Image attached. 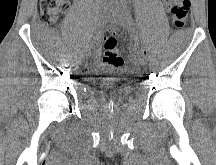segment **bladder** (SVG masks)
<instances>
[{"label":"bladder","mask_w":216,"mask_h":165,"mask_svg":"<svg viewBox=\"0 0 216 165\" xmlns=\"http://www.w3.org/2000/svg\"><path fill=\"white\" fill-rule=\"evenodd\" d=\"M90 86L93 89H85V94H97L105 103H116L119 99H126L132 94L131 76H92Z\"/></svg>","instance_id":"bladder-1"}]
</instances>
